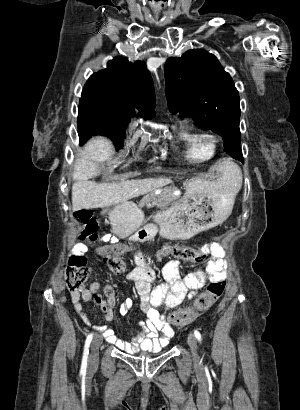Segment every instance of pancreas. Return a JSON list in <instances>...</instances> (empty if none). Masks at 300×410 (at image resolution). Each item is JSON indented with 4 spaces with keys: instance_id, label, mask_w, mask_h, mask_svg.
Segmentation results:
<instances>
[{
    "instance_id": "1",
    "label": "pancreas",
    "mask_w": 300,
    "mask_h": 410,
    "mask_svg": "<svg viewBox=\"0 0 300 410\" xmlns=\"http://www.w3.org/2000/svg\"><path fill=\"white\" fill-rule=\"evenodd\" d=\"M179 196L174 195L172 190L166 189L160 194H153L145 196L140 205H146L147 207L157 206L161 209H166L168 206L174 204L178 200Z\"/></svg>"
}]
</instances>
